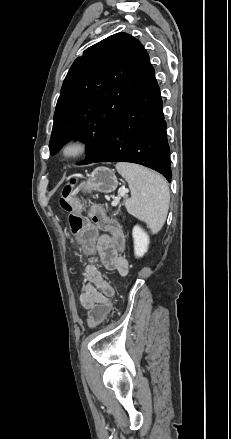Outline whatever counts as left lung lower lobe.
Here are the masks:
<instances>
[{
  "mask_svg": "<svg viewBox=\"0 0 231 439\" xmlns=\"http://www.w3.org/2000/svg\"><path fill=\"white\" fill-rule=\"evenodd\" d=\"M154 74L151 65L138 90L126 104L100 151L90 163H137L158 171L168 182L171 181L167 125Z\"/></svg>",
  "mask_w": 231,
  "mask_h": 439,
  "instance_id": "0a47b994",
  "label": "left lung lower lobe"
}]
</instances>
